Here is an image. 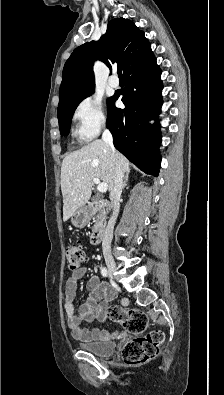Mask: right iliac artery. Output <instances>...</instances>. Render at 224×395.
Returning <instances> with one entry per match:
<instances>
[{
  "mask_svg": "<svg viewBox=\"0 0 224 395\" xmlns=\"http://www.w3.org/2000/svg\"><path fill=\"white\" fill-rule=\"evenodd\" d=\"M101 274H102L103 277H105V278L108 277V272H107V269H106L105 267H103V268L101 269Z\"/></svg>",
  "mask_w": 224,
  "mask_h": 395,
  "instance_id": "1",
  "label": "right iliac artery"
}]
</instances>
